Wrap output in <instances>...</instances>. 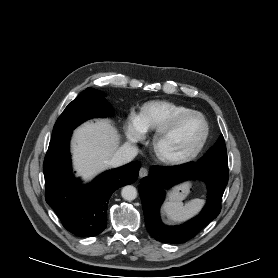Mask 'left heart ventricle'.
<instances>
[{
    "label": "left heart ventricle",
    "mask_w": 278,
    "mask_h": 278,
    "mask_svg": "<svg viewBox=\"0 0 278 278\" xmlns=\"http://www.w3.org/2000/svg\"><path fill=\"white\" fill-rule=\"evenodd\" d=\"M204 124L201 118L192 116L184 120L167 140L164 149L172 154H182L192 150L201 139Z\"/></svg>",
    "instance_id": "left-heart-ventricle-1"
}]
</instances>
